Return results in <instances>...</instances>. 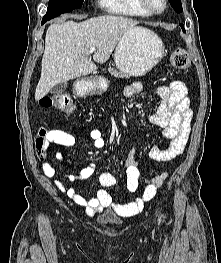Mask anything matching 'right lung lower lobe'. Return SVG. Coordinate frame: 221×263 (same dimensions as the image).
<instances>
[{
    "label": "right lung lower lobe",
    "mask_w": 221,
    "mask_h": 263,
    "mask_svg": "<svg viewBox=\"0 0 221 263\" xmlns=\"http://www.w3.org/2000/svg\"><path fill=\"white\" fill-rule=\"evenodd\" d=\"M46 22V20H42V23L41 24H44Z\"/></svg>",
    "instance_id": "right-lung-lower-lobe-1"
}]
</instances>
